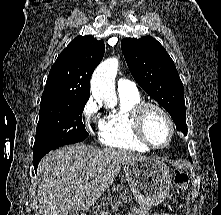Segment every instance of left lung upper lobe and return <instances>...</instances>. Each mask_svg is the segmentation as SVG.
I'll list each match as a JSON object with an SVG mask.
<instances>
[{
    "mask_svg": "<svg viewBox=\"0 0 221 215\" xmlns=\"http://www.w3.org/2000/svg\"><path fill=\"white\" fill-rule=\"evenodd\" d=\"M121 49L136 82L168 111L177 130L187 135L183 84L164 47L145 36L124 38Z\"/></svg>",
    "mask_w": 221,
    "mask_h": 215,
    "instance_id": "left-lung-upper-lobe-1",
    "label": "left lung upper lobe"
}]
</instances>
